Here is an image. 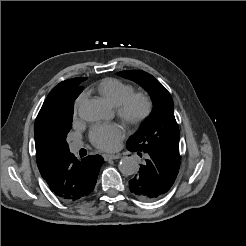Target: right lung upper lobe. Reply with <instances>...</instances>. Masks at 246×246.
Segmentation results:
<instances>
[{
  "label": "right lung upper lobe",
  "mask_w": 246,
  "mask_h": 246,
  "mask_svg": "<svg viewBox=\"0 0 246 246\" xmlns=\"http://www.w3.org/2000/svg\"><path fill=\"white\" fill-rule=\"evenodd\" d=\"M86 79L76 77L60 82L48 94L37 115L34 125L36 161L42 177L60 158L70 153L56 137L55 121L64 102L81 93V83Z\"/></svg>",
  "instance_id": "1"
}]
</instances>
